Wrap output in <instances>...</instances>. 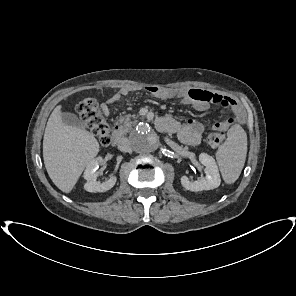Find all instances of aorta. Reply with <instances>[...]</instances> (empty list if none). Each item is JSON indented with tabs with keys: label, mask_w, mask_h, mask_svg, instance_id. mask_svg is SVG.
<instances>
[{
	"label": "aorta",
	"mask_w": 296,
	"mask_h": 296,
	"mask_svg": "<svg viewBox=\"0 0 296 296\" xmlns=\"http://www.w3.org/2000/svg\"><path fill=\"white\" fill-rule=\"evenodd\" d=\"M131 147L141 154L155 151L160 143L158 134L147 124H139L130 135Z\"/></svg>",
	"instance_id": "obj_1"
}]
</instances>
